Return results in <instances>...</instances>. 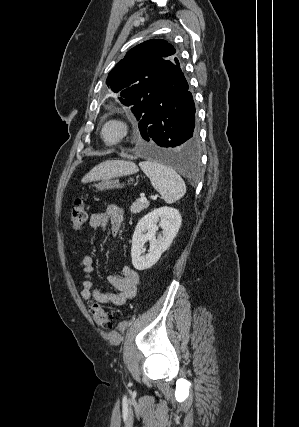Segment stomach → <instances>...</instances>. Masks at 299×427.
Returning a JSON list of instances; mask_svg holds the SVG:
<instances>
[{
    "mask_svg": "<svg viewBox=\"0 0 299 427\" xmlns=\"http://www.w3.org/2000/svg\"><path fill=\"white\" fill-rule=\"evenodd\" d=\"M133 181V180H131ZM95 187L97 188V190H110V189H114V188H119L120 187V183L119 180L116 177H111V178H106L101 180V182H99L98 184L95 185Z\"/></svg>",
    "mask_w": 299,
    "mask_h": 427,
    "instance_id": "stomach-1",
    "label": "stomach"
}]
</instances>
